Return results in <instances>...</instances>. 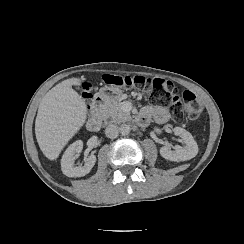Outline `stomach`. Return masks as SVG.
<instances>
[{"mask_svg": "<svg viewBox=\"0 0 244 244\" xmlns=\"http://www.w3.org/2000/svg\"><path fill=\"white\" fill-rule=\"evenodd\" d=\"M122 94V90L118 86H104L100 88L96 94L95 99L99 98L102 102L108 103L112 100L118 99Z\"/></svg>", "mask_w": 244, "mask_h": 244, "instance_id": "1", "label": "stomach"}]
</instances>
